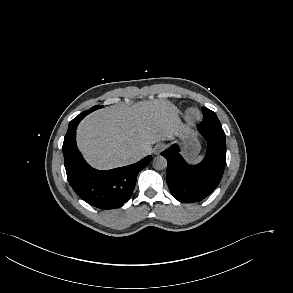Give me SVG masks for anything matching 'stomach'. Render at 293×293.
Returning a JSON list of instances; mask_svg holds the SVG:
<instances>
[{"instance_id": "1", "label": "stomach", "mask_w": 293, "mask_h": 293, "mask_svg": "<svg viewBox=\"0 0 293 293\" xmlns=\"http://www.w3.org/2000/svg\"><path fill=\"white\" fill-rule=\"evenodd\" d=\"M176 138L182 142L183 155L189 161L194 160L200 152L201 146L194 132L181 124L176 132Z\"/></svg>"}]
</instances>
